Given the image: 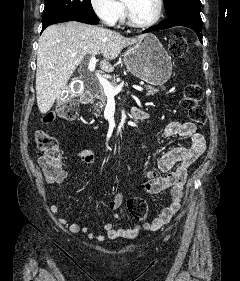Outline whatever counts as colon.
Here are the masks:
<instances>
[{"label": "colon", "mask_w": 240, "mask_h": 281, "mask_svg": "<svg viewBox=\"0 0 240 281\" xmlns=\"http://www.w3.org/2000/svg\"><path fill=\"white\" fill-rule=\"evenodd\" d=\"M170 53L175 57H185L188 53V44L181 33H174L169 41ZM203 89L197 82L188 83L183 90L182 107L188 114L189 119L203 127L206 124V114L201 106ZM77 114V103L75 100L60 102L54 111L48 113L44 123H50L56 118L73 120ZM35 140L40 154V164L47 175L54 176L61 166V154L57 139L48 131L39 129L35 133ZM127 209L130 215L137 221H143L147 215V204L139 197L127 200Z\"/></svg>", "instance_id": "1"}]
</instances>
